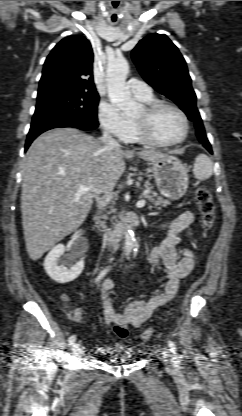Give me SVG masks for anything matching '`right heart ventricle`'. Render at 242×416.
<instances>
[{
	"label": "right heart ventricle",
	"instance_id": "1",
	"mask_svg": "<svg viewBox=\"0 0 242 416\" xmlns=\"http://www.w3.org/2000/svg\"><path fill=\"white\" fill-rule=\"evenodd\" d=\"M138 99L145 103H148L154 100L152 95L145 97V98H138ZM127 140L131 142H141L140 138L137 135L135 125L133 123H132V132Z\"/></svg>",
	"mask_w": 242,
	"mask_h": 416
}]
</instances>
